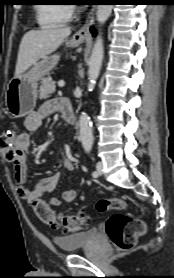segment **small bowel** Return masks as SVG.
I'll use <instances>...</instances> for the list:
<instances>
[{
	"mask_svg": "<svg viewBox=\"0 0 174 278\" xmlns=\"http://www.w3.org/2000/svg\"><path fill=\"white\" fill-rule=\"evenodd\" d=\"M57 102H50L42 105L37 111L28 115L24 121L26 132L17 135L13 139V148L15 158L12 161L14 164L15 188L19 197L32 203L38 198L52 193L61 177V172H56L46 178L37 182L33 188L27 187V157L31 147L30 133L38 131L44 120L51 114L57 107ZM63 167L67 171H73L74 165L71 160L65 159ZM78 195L77 189H68L62 193L61 198L52 197L48 200L47 204L52 207H58L63 202H72Z\"/></svg>",
	"mask_w": 174,
	"mask_h": 278,
	"instance_id": "obj_1",
	"label": "small bowel"
}]
</instances>
